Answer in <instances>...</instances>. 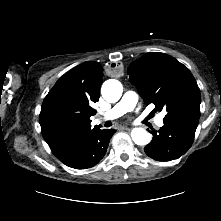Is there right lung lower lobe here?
Instances as JSON below:
<instances>
[{
	"instance_id": "right-lung-lower-lobe-1",
	"label": "right lung lower lobe",
	"mask_w": 221,
	"mask_h": 221,
	"mask_svg": "<svg viewBox=\"0 0 221 221\" xmlns=\"http://www.w3.org/2000/svg\"><path fill=\"white\" fill-rule=\"evenodd\" d=\"M114 133L113 129L101 130L97 128L79 145L58 159L75 169L93 167L104 157Z\"/></svg>"
}]
</instances>
